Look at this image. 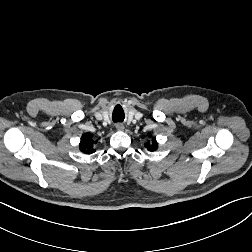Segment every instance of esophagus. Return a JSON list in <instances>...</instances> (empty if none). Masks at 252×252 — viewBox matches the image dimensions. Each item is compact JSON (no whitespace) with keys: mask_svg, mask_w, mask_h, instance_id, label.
<instances>
[{"mask_svg":"<svg viewBox=\"0 0 252 252\" xmlns=\"http://www.w3.org/2000/svg\"><path fill=\"white\" fill-rule=\"evenodd\" d=\"M116 129L117 130H123L124 129V125L123 124H117L116 125Z\"/></svg>","mask_w":252,"mask_h":252,"instance_id":"obj_1","label":"esophagus"}]
</instances>
